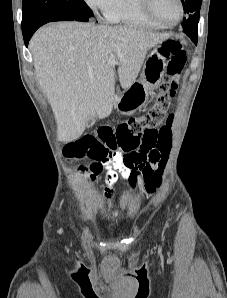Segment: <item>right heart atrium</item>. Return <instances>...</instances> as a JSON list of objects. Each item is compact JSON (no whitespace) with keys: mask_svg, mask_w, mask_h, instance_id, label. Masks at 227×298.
Wrapping results in <instances>:
<instances>
[{"mask_svg":"<svg viewBox=\"0 0 227 298\" xmlns=\"http://www.w3.org/2000/svg\"><path fill=\"white\" fill-rule=\"evenodd\" d=\"M85 3L93 10L105 13L114 0H84Z\"/></svg>","mask_w":227,"mask_h":298,"instance_id":"obj_1","label":"right heart atrium"}]
</instances>
